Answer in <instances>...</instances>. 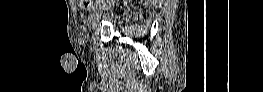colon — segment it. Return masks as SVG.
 Listing matches in <instances>:
<instances>
[{"mask_svg":"<svg viewBox=\"0 0 263 92\" xmlns=\"http://www.w3.org/2000/svg\"><path fill=\"white\" fill-rule=\"evenodd\" d=\"M78 2L81 3L84 8L89 9L90 6H91V3H92L93 1H90V0H80V1H78Z\"/></svg>","mask_w":263,"mask_h":92,"instance_id":"colon-1","label":"colon"}]
</instances>
